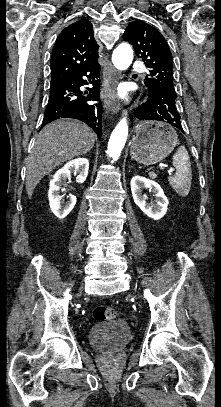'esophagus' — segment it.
<instances>
[{
    "mask_svg": "<svg viewBox=\"0 0 221 407\" xmlns=\"http://www.w3.org/2000/svg\"><path fill=\"white\" fill-rule=\"evenodd\" d=\"M104 90L101 93V100L106 112L115 113L120 109V103L116 96L115 86L121 79V73L115 70L112 65L104 67Z\"/></svg>",
    "mask_w": 221,
    "mask_h": 407,
    "instance_id": "34e87169",
    "label": "esophagus"
}]
</instances>
